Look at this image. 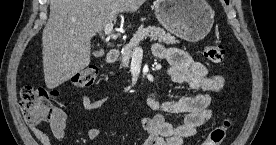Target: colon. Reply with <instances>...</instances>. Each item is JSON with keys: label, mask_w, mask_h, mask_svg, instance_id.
Masks as SVG:
<instances>
[{"label": "colon", "mask_w": 276, "mask_h": 145, "mask_svg": "<svg viewBox=\"0 0 276 145\" xmlns=\"http://www.w3.org/2000/svg\"><path fill=\"white\" fill-rule=\"evenodd\" d=\"M205 58L214 64L224 60L225 48L222 45H208L204 48ZM98 76L95 66H87L76 72L71 78V84L77 88L91 87ZM56 92L44 87L27 85L20 92V107L25 121L31 126H40L49 122L55 114L52 103ZM232 122L229 118L214 126L202 145H221L227 137Z\"/></svg>", "instance_id": "5ec220e1"}]
</instances>
